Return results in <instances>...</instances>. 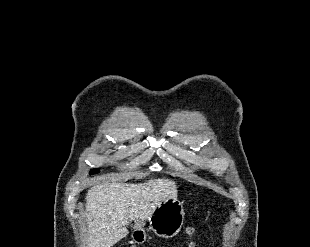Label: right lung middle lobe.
Instances as JSON below:
<instances>
[{
  "instance_id": "obj_1",
  "label": "right lung middle lobe",
  "mask_w": 310,
  "mask_h": 247,
  "mask_svg": "<svg viewBox=\"0 0 310 247\" xmlns=\"http://www.w3.org/2000/svg\"><path fill=\"white\" fill-rule=\"evenodd\" d=\"M98 172H99V169H94V170L91 171L90 174H95V173H98Z\"/></svg>"
}]
</instances>
